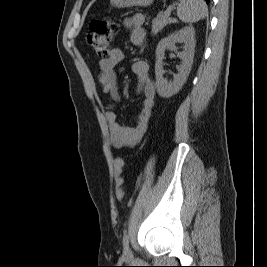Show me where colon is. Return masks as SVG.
Here are the masks:
<instances>
[{
	"label": "colon",
	"instance_id": "1",
	"mask_svg": "<svg viewBox=\"0 0 267 267\" xmlns=\"http://www.w3.org/2000/svg\"><path fill=\"white\" fill-rule=\"evenodd\" d=\"M117 31V25L105 18L94 19L90 22V30L87 35V42L91 49L99 56H107L111 51V43ZM125 166L122 158L114 160V169L116 173V197L123 199L122 178L120 173Z\"/></svg>",
	"mask_w": 267,
	"mask_h": 267
}]
</instances>
